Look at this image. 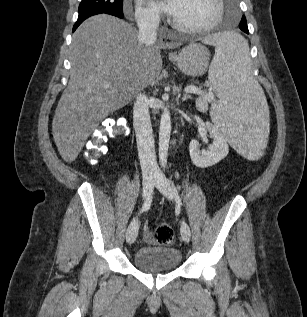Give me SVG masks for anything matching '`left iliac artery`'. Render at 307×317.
I'll return each instance as SVG.
<instances>
[{
  "mask_svg": "<svg viewBox=\"0 0 307 317\" xmlns=\"http://www.w3.org/2000/svg\"><path fill=\"white\" fill-rule=\"evenodd\" d=\"M170 183H171L173 191H174L175 200H176L177 205L178 206H182L181 198H180L179 193H178V188L175 185V183H174V181H173L171 176H170Z\"/></svg>",
  "mask_w": 307,
  "mask_h": 317,
  "instance_id": "1",
  "label": "left iliac artery"
}]
</instances>
